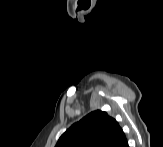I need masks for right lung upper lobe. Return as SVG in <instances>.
<instances>
[{"label":"right lung upper lobe","mask_w":163,"mask_h":147,"mask_svg":"<svg viewBox=\"0 0 163 147\" xmlns=\"http://www.w3.org/2000/svg\"><path fill=\"white\" fill-rule=\"evenodd\" d=\"M125 137L118 122L104 111H93L74 123L55 147H114Z\"/></svg>","instance_id":"right-lung-upper-lobe-1"}]
</instances>
